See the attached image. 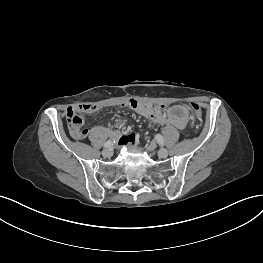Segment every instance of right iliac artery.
Returning a JSON list of instances; mask_svg holds the SVG:
<instances>
[{
  "mask_svg": "<svg viewBox=\"0 0 263 263\" xmlns=\"http://www.w3.org/2000/svg\"><path fill=\"white\" fill-rule=\"evenodd\" d=\"M115 142V141H114ZM113 145V141L112 140H108L107 142L104 143V148H109Z\"/></svg>",
  "mask_w": 263,
  "mask_h": 263,
  "instance_id": "obj_1",
  "label": "right iliac artery"
}]
</instances>
